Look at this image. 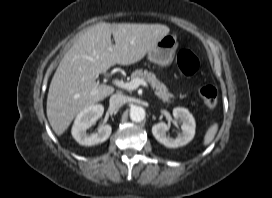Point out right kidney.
I'll list each match as a JSON object with an SVG mask.
<instances>
[{"label": "right kidney", "mask_w": 272, "mask_h": 198, "mask_svg": "<svg viewBox=\"0 0 272 198\" xmlns=\"http://www.w3.org/2000/svg\"><path fill=\"white\" fill-rule=\"evenodd\" d=\"M103 112L104 107L96 104L88 106L78 113L72 127V136L80 145L93 146L103 143L109 138L112 132L109 124L101 126L97 133L88 135L86 132L102 116Z\"/></svg>", "instance_id": "right-kidney-1"}]
</instances>
